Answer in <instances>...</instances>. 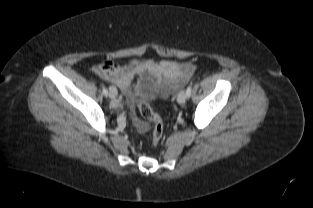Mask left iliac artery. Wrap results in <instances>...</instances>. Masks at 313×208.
<instances>
[{
  "label": "left iliac artery",
  "mask_w": 313,
  "mask_h": 208,
  "mask_svg": "<svg viewBox=\"0 0 313 208\" xmlns=\"http://www.w3.org/2000/svg\"><path fill=\"white\" fill-rule=\"evenodd\" d=\"M191 90H192V85H189L187 90H186V94H187V97H190L191 95Z\"/></svg>",
  "instance_id": "1"
}]
</instances>
